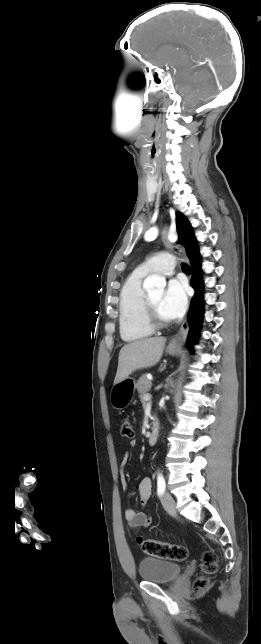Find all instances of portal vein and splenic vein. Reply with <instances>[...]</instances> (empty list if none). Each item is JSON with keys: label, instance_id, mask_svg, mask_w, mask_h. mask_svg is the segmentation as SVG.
<instances>
[{"label": "portal vein and splenic vein", "instance_id": "obj_1", "mask_svg": "<svg viewBox=\"0 0 261 644\" xmlns=\"http://www.w3.org/2000/svg\"><path fill=\"white\" fill-rule=\"evenodd\" d=\"M150 398H151V395H150V394H146V395L144 396V400H149Z\"/></svg>", "mask_w": 261, "mask_h": 644}]
</instances>
